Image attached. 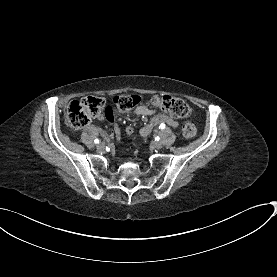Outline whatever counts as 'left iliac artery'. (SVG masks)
Segmentation results:
<instances>
[{
  "label": "left iliac artery",
  "instance_id": "left-iliac-artery-1",
  "mask_svg": "<svg viewBox=\"0 0 277 277\" xmlns=\"http://www.w3.org/2000/svg\"><path fill=\"white\" fill-rule=\"evenodd\" d=\"M165 127H166V126H165L164 123H162V124L159 126L160 129H165Z\"/></svg>",
  "mask_w": 277,
  "mask_h": 277
}]
</instances>
